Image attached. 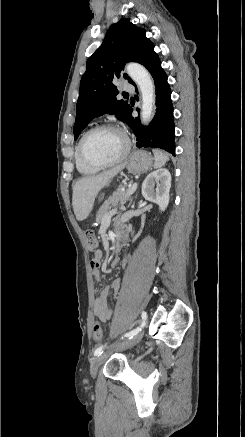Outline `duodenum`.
Returning a JSON list of instances; mask_svg holds the SVG:
<instances>
[{"instance_id": "obj_1", "label": "duodenum", "mask_w": 245, "mask_h": 437, "mask_svg": "<svg viewBox=\"0 0 245 437\" xmlns=\"http://www.w3.org/2000/svg\"><path fill=\"white\" fill-rule=\"evenodd\" d=\"M126 239H127V237H126L125 232L123 231V229L118 230L117 234H116V244H115L117 252L124 245V243L126 242ZM118 262H119V258H118V256H116L113 259V261L111 263V266L115 267L118 264Z\"/></svg>"}]
</instances>
